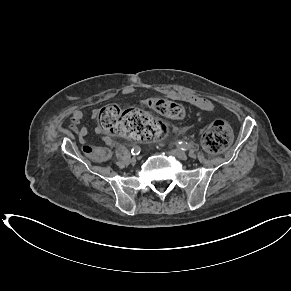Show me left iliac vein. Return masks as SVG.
Instances as JSON below:
<instances>
[{
  "label": "left iliac vein",
  "mask_w": 291,
  "mask_h": 291,
  "mask_svg": "<svg viewBox=\"0 0 291 291\" xmlns=\"http://www.w3.org/2000/svg\"><path fill=\"white\" fill-rule=\"evenodd\" d=\"M169 153L178 157L181 160H187V158H188L187 154L180 149H173Z\"/></svg>",
  "instance_id": "left-iliac-vein-1"
}]
</instances>
